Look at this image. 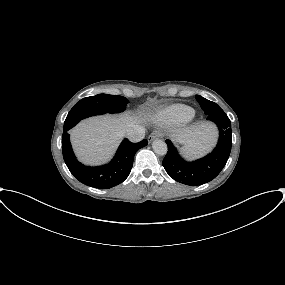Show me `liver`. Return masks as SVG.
Returning a JSON list of instances; mask_svg holds the SVG:
<instances>
[{
    "label": "liver",
    "instance_id": "obj_1",
    "mask_svg": "<svg viewBox=\"0 0 285 285\" xmlns=\"http://www.w3.org/2000/svg\"><path fill=\"white\" fill-rule=\"evenodd\" d=\"M142 120L135 116L110 115L93 117L80 122L70 131L73 148L79 160L97 165L108 161L118 148L125 130ZM188 145L199 146L214 138V130L205 124L193 125L175 134Z\"/></svg>",
    "mask_w": 285,
    "mask_h": 285
}]
</instances>
